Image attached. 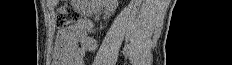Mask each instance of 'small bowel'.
I'll return each instance as SVG.
<instances>
[{"label":"small bowel","mask_w":232,"mask_h":65,"mask_svg":"<svg viewBox=\"0 0 232 65\" xmlns=\"http://www.w3.org/2000/svg\"><path fill=\"white\" fill-rule=\"evenodd\" d=\"M88 28L87 23L82 21L75 26L59 31L57 39L63 40L65 52L61 58L66 61L67 65H83L85 53L96 48L95 40L87 34Z\"/></svg>","instance_id":"c3829d8e"}]
</instances>
